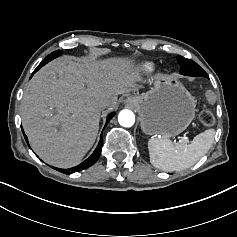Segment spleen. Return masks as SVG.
Listing matches in <instances>:
<instances>
[{
  "instance_id": "3e777b00",
  "label": "spleen",
  "mask_w": 237,
  "mask_h": 237,
  "mask_svg": "<svg viewBox=\"0 0 237 237\" xmlns=\"http://www.w3.org/2000/svg\"><path fill=\"white\" fill-rule=\"evenodd\" d=\"M215 130L208 129L194 137L190 144L173 143L167 138H152L148 141L151 164L161 170L181 171L193 166L211 148Z\"/></svg>"
}]
</instances>
